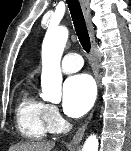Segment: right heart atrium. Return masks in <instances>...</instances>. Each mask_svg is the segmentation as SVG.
I'll use <instances>...</instances> for the list:
<instances>
[{
  "instance_id": "right-heart-atrium-1",
  "label": "right heart atrium",
  "mask_w": 131,
  "mask_h": 151,
  "mask_svg": "<svg viewBox=\"0 0 131 151\" xmlns=\"http://www.w3.org/2000/svg\"><path fill=\"white\" fill-rule=\"evenodd\" d=\"M47 119L53 131H58L62 128L63 119L56 106H47Z\"/></svg>"
}]
</instances>
